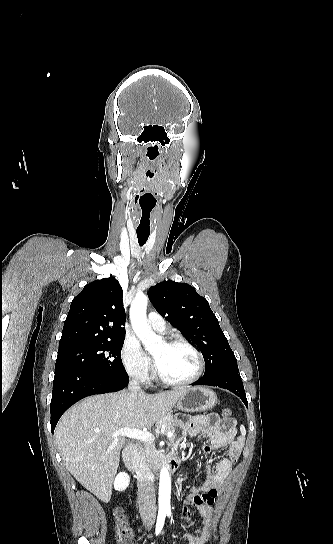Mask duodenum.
<instances>
[{
  "label": "duodenum",
  "instance_id": "1",
  "mask_svg": "<svg viewBox=\"0 0 333 544\" xmlns=\"http://www.w3.org/2000/svg\"><path fill=\"white\" fill-rule=\"evenodd\" d=\"M138 446L136 444L129 445L124 452V460L128 469L133 473L138 481L149 479V473L141 465L137 459ZM180 464V459L177 453H170L163 461L162 468L169 472L175 471Z\"/></svg>",
  "mask_w": 333,
  "mask_h": 544
}]
</instances>
